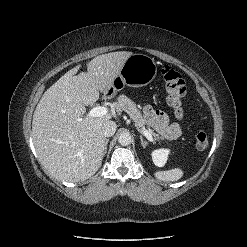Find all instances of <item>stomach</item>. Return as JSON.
I'll use <instances>...</instances> for the list:
<instances>
[{
  "instance_id": "stomach-1",
  "label": "stomach",
  "mask_w": 247,
  "mask_h": 247,
  "mask_svg": "<svg viewBox=\"0 0 247 247\" xmlns=\"http://www.w3.org/2000/svg\"><path fill=\"white\" fill-rule=\"evenodd\" d=\"M156 75L157 65L153 58L144 54H132L126 59L110 90L117 92L124 86L143 87L152 82Z\"/></svg>"
}]
</instances>
